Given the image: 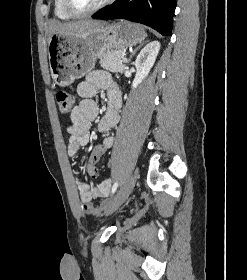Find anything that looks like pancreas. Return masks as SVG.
Segmentation results:
<instances>
[{
  "instance_id": "obj_1",
  "label": "pancreas",
  "mask_w": 247,
  "mask_h": 280,
  "mask_svg": "<svg viewBox=\"0 0 247 280\" xmlns=\"http://www.w3.org/2000/svg\"><path fill=\"white\" fill-rule=\"evenodd\" d=\"M126 50L124 48L112 50L100 58L101 66L114 73H123L125 63L122 61Z\"/></svg>"
}]
</instances>
